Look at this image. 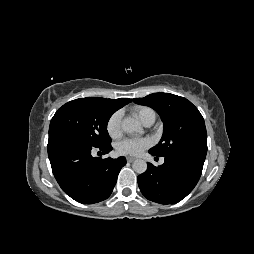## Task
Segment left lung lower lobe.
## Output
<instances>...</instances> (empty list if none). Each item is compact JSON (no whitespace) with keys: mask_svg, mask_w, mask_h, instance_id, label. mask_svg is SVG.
<instances>
[{"mask_svg":"<svg viewBox=\"0 0 254 254\" xmlns=\"http://www.w3.org/2000/svg\"><path fill=\"white\" fill-rule=\"evenodd\" d=\"M153 156H157L149 150ZM165 157L163 165L147 163V170L138 176L142 194L160 204H175L184 199L196 186L206 155L179 152Z\"/></svg>","mask_w":254,"mask_h":254,"instance_id":"1","label":"left lung lower lobe"}]
</instances>
